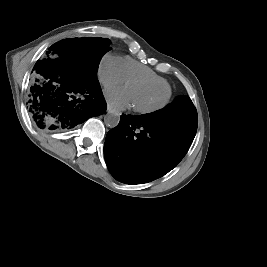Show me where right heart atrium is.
<instances>
[{"instance_id":"1","label":"right heart atrium","mask_w":267,"mask_h":267,"mask_svg":"<svg viewBox=\"0 0 267 267\" xmlns=\"http://www.w3.org/2000/svg\"><path fill=\"white\" fill-rule=\"evenodd\" d=\"M98 78L105 87L122 84L125 78L121 69V58L105 54L98 65Z\"/></svg>"}]
</instances>
